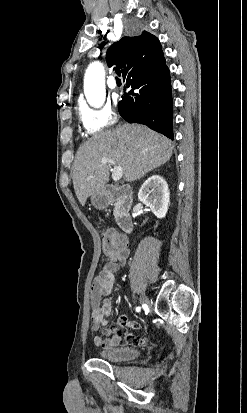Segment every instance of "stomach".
<instances>
[{
  "instance_id": "1",
  "label": "stomach",
  "mask_w": 247,
  "mask_h": 413,
  "mask_svg": "<svg viewBox=\"0 0 247 413\" xmlns=\"http://www.w3.org/2000/svg\"><path fill=\"white\" fill-rule=\"evenodd\" d=\"M91 202L94 204L95 209H106L111 202V196L107 190H100V192H94L91 194Z\"/></svg>"
}]
</instances>
